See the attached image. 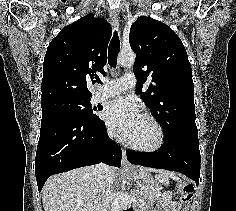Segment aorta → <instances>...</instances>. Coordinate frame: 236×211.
Here are the masks:
<instances>
[{
	"instance_id": "obj_1",
	"label": "aorta",
	"mask_w": 236,
	"mask_h": 211,
	"mask_svg": "<svg viewBox=\"0 0 236 211\" xmlns=\"http://www.w3.org/2000/svg\"><path fill=\"white\" fill-rule=\"evenodd\" d=\"M135 54L133 52H121L117 58V63L121 66H132L135 62ZM111 211H121V203L119 199H115L111 204Z\"/></svg>"
}]
</instances>
